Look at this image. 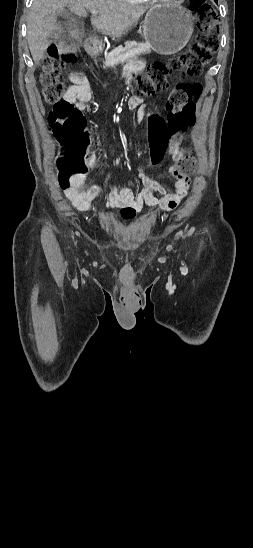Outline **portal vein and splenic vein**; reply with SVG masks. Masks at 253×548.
<instances>
[{
    "instance_id": "obj_1",
    "label": "portal vein and splenic vein",
    "mask_w": 253,
    "mask_h": 548,
    "mask_svg": "<svg viewBox=\"0 0 253 548\" xmlns=\"http://www.w3.org/2000/svg\"><path fill=\"white\" fill-rule=\"evenodd\" d=\"M90 12H91L93 15H97V14H98V11H96V10H90Z\"/></svg>"
}]
</instances>
